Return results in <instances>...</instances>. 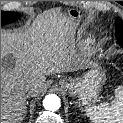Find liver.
I'll list each match as a JSON object with an SVG mask.
<instances>
[{
    "instance_id": "1",
    "label": "liver",
    "mask_w": 123,
    "mask_h": 123,
    "mask_svg": "<svg viewBox=\"0 0 123 123\" xmlns=\"http://www.w3.org/2000/svg\"><path fill=\"white\" fill-rule=\"evenodd\" d=\"M72 30V21L57 10L39 16L24 30H1V123H21L27 84L36 86V96L46 75L81 66L71 49Z\"/></svg>"
}]
</instances>
